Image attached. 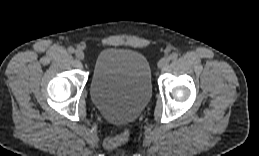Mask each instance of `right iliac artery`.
I'll list each match as a JSON object with an SVG mask.
<instances>
[{"mask_svg": "<svg viewBox=\"0 0 259 156\" xmlns=\"http://www.w3.org/2000/svg\"><path fill=\"white\" fill-rule=\"evenodd\" d=\"M68 52H69V53H74V52H75V49H74L73 47H69V48H68Z\"/></svg>", "mask_w": 259, "mask_h": 156, "instance_id": "obj_1", "label": "right iliac artery"}]
</instances>
